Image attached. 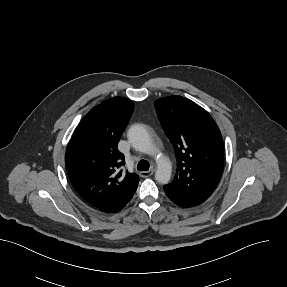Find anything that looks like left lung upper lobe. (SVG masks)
Masks as SVG:
<instances>
[{
  "label": "left lung upper lobe",
  "mask_w": 287,
  "mask_h": 287,
  "mask_svg": "<svg viewBox=\"0 0 287 287\" xmlns=\"http://www.w3.org/2000/svg\"><path fill=\"white\" fill-rule=\"evenodd\" d=\"M155 107L177 158L174 180L165 187L189 198L207 200L224 164L218 126L206 110L182 96L158 99Z\"/></svg>",
  "instance_id": "5c2ea615"
}]
</instances>
